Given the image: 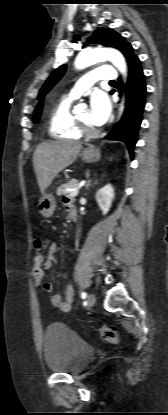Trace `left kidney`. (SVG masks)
<instances>
[{
	"label": "left kidney",
	"mask_w": 168,
	"mask_h": 415,
	"mask_svg": "<svg viewBox=\"0 0 168 415\" xmlns=\"http://www.w3.org/2000/svg\"><path fill=\"white\" fill-rule=\"evenodd\" d=\"M114 195V189L111 184H107L96 193V201L104 215L110 210Z\"/></svg>",
	"instance_id": "1"
}]
</instances>
